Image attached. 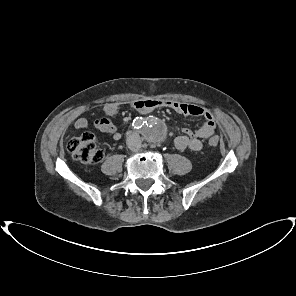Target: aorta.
Wrapping results in <instances>:
<instances>
[{
    "label": "aorta",
    "instance_id": "1",
    "mask_svg": "<svg viewBox=\"0 0 296 296\" xmlns=\"http://www.w3.org/2000/svg\"><path fill=\"white\" fill-rule=\"evenodd\" d=\"M164 131L158 130V124L155 119H151L147 124V132L145 137L152 142H161L164 139Z\"/></svg>",
    "mask_w": 296,
    "mask_h": 296
}]
</instances>
